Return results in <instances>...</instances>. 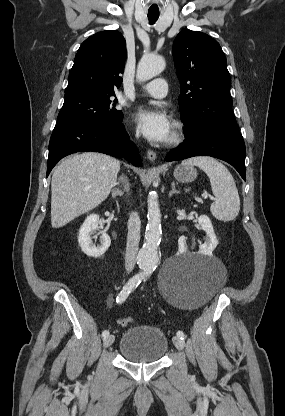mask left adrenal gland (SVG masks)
Returning <instances> with one entry per match:
<instances>
[{
    "mask_svg": "<svg viewBox=\"0 0 285 416\" xmlns=\"http://www.w3.org/2000/svg\"><path fill=\"white\" fill-rule=\"evenodd\" d=\"M171 186H172V190H171V192H169L170 198H171V196H173V194H181V192H178V190H176L175 182H172Z\"/></svg>",
    "mask_w": 285,
    "mask_h": 416,
    "instance_id": "1",
    "label": "left adrenal gland"
}]
</instances>
